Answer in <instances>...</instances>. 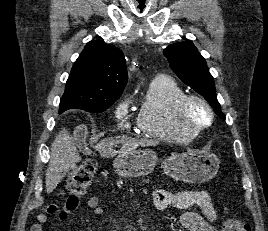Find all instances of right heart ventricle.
Masks as SVG:
<instances>
[{"instance_id":"right-heart-ventricle-1","label":"right heart ventricle","mask_w":268,"mask_h":231,"mask_svg":"<svg viewBox=\"0 0 268 231\" xmlns=\"http://www.w3.org/2000/svg\"><path fill=\"white\" fill-rule=\"evenodd\" d=\"M184 89L171 77H156L148 86L137 115V123L146 137L184 143L191 137L176 119L177 103Z\"/></svg>"}]
</instances>
